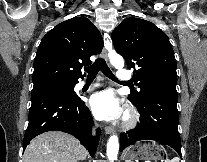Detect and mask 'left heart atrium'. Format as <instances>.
Listing matches in <instances>:
<instances>
[{
  "label": "left heart atrium",
  "mask_w": 207,
  "mask_h": 162,
  "mask_svg": "<svg viewBox=\"0 0 207 162\" xmlns=\"http://www.w3.org/2000/svg\"><path fill=\"white\" fill-rule=\"evenodd\" d=\"M89 105L96 118L100 120H116L124 116L125 113L122 100L112 90L93 94Z\"/></svg>",
  "instance_id": "39dd6f15"
}]
</instances>
